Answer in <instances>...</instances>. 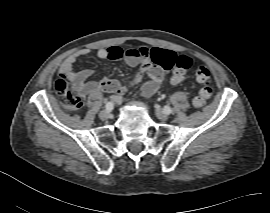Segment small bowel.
Listing matches in <instances>:
<instances>
[{
    "label": "small bowel",
    "instance_id": "c3829d8e",
    "mask_svg": "<svg viewBox=\"0 0 270 213\" xmlns=\"http://www.w3.org/2000/svg\"><path fill=\"white\" fill-rule=\"evenodd\" d=\"M120 49L122 48L116 46L109 48H99L96 51V57L100 60H116V58L112 56V53L115 50ZM156 50L168 51L171 52L173 55L177 56L175 52L171 50L161 48H157ZM88 54V49L83 48L77 50L76 52L66 57L59 68V72L62 77L61 81H63L65 87L68 89V85H70L80 95V97H89L99 89H104L113 93L120 94L124 92L130 85L139 83L143 78V73L141 72L132 77V79L127 84L106 78L103 79L101 82H89L86 80L89 75V71L76 72L74 70V64L76 60L79 57H84ZM125 62L129 66L134 67L141 62V58L138 56L125 57ZM144 72L149 77V80L143 84L142 93L145 96H152L158 90L164 78L165 72L161 66L154 64H146ZM111 99L114 103H118L117 97H112Z\"/></svg>",
    "mask_w": 270,
    "mask_h": 213
}]
</instances>
